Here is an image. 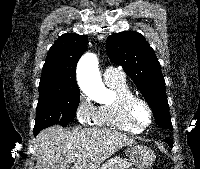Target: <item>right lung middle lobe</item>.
<instances>
[{"label":"right lung middle lobe","instance_id":"1","mask_svg":"<svg viewBox=\"0 0 200 169\" xmlns=\"http://www.w3.org/2000/svg\"><path fill=\"white\" fill-rule=\"evenodd\" d=\"M79 99L80 92L40 95L36 108L34 135L55 124L66 126L76 116Z\"/></svg>","mask_w":200,"mask_h":169}]
</instances>
